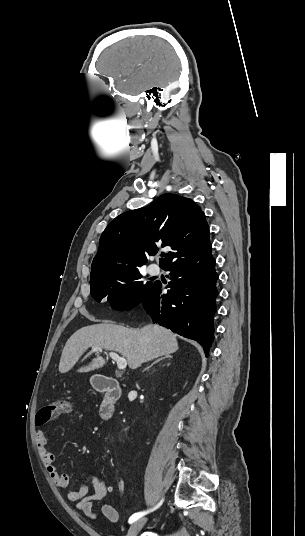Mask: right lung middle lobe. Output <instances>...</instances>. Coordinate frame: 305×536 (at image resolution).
<instances>
[{
    "label": "right lung middle lobe",
    "instance_id": "1",
    "mask_svg": "<svg viewBox=\"0 0 305 536\" xmlns=\"http://www.w3.org/2000/svg\"><path fill=\"white\" fill-rule=\"evenodd\" d=\"M142 275L134 270L112 278L90 282L91 296L100 302L107 298L115 310H129L138 305L151 289L153 283L140 281Z\"/></svg>",
    "mask_w": 305,
    "mask_h": 536
}]
</instances>
